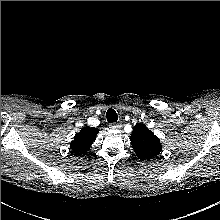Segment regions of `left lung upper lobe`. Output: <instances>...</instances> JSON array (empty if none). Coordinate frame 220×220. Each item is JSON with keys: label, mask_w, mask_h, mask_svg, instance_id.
<instances>
[{"label": "left lung upper lobe", "mask_w": 220, "mask_h": 220, "mask_svg": "<svg viewBox=\"0 0 220 220\" xmlns=\"http://www.w3.org/2000/svg\"><path fill=\"white\" fill-rule=\"evenodd\" d=\"M130 140L136 155L140 159L154 158L162 151L159 138L144 124L134 126Z\"/></svg>", "instance_id": "obj_1"}]
</instances>
